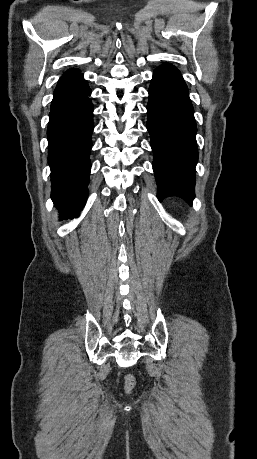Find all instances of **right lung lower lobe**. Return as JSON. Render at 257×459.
<instances>
[{
  "label": "right lung lower lobe",
  "instance_id": "98d812e1",
  "mask_svg": "<svg viewBox=\"0 0 257 459\" xmlns=\"http://www.w3.org/2000/svg\"><path fill=\"white\" fill-rule=\"evenodd\" d=\"M90 94L82 74L63 76L50 107L47 138L51 198L65 219L77 217L87 200L94 128Z\"/></svg>",
  "mask_w": 257,
  "mask_h": 459
}]
</instances>
